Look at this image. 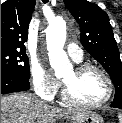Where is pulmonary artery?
Listing matches in <instances>:
<instances>
[{
  "mask_svg": "<svg viewBox=\"0 0 122 123\" xmlns=\"http://www.w3.org/2000/svg\"><path fill=\"white\" fill-rule=\"evenodd\" d=\"M69 56L76 62H80L83 59L82 49L75 43H68L66 46Z\"/></svg>",
  "mask_w": 122,
  "mask_h": 123,
  "instance_id": "1",
  "label": "pulmonary artery"
}]
</instances>
